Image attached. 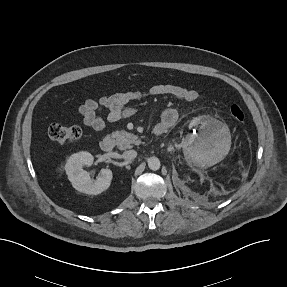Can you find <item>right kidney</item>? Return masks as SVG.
<instances>
[{"mask_svg": "<svg viewBox=\"0 0 287 287\" xmlns=\"http://www.w3.org/2000/svg\"><path fill=\"white\" fill-rule=\"evenodd\" d=\"M94 158L89 152H79L71 155L65 165V171L72 186L79 192L98 195L107 190L111 184L112 171L102 169L96 180H91L83 166L90 165Z\"/></svg>", "mask_w": 287, "mask_h": 287, "instance_id": "obj_1", "label": "right kidney"}]
</instances>
